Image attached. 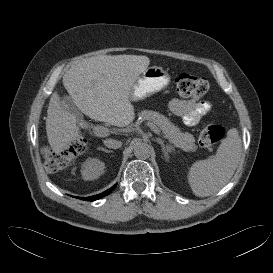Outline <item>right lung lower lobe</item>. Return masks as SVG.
<instances>
[{"label":"right lung lower lobe","instance_id":"obj_1","mask_svg":"<svg viewBox=\"0 0 273 273\" xmlns=\"http://www.w3.org/2000/svg\"><path fill=\"white\" fill-rule=\"evenodd\" d=\"M116 185H114L113 187H111L110 189L106 190L105 192L101 193V194H98V195H95V196H91V197H81L80 199L82 200H86V201H95V200H98L104 196H107L112 190H114Z\"/></svg>","mask_w":273,"mask_h":273}]
</instances>
